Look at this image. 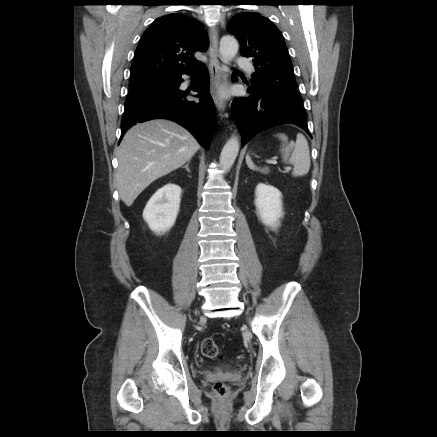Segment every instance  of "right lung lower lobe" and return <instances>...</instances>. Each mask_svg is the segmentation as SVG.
Instances as JSON below:
<instances>
[{
    "label": "right lung lower lobe",
    "instance_id": "1",
    "mask_svg": "<svg viewBox=\"0 0 437 437\" xmlns=\"http://www.w3.org/2000/svg\"><path fill=\"white\" fill-rule=\"evenodd\" d=\"M183 74L194 76L193 91L198 93L200 101L187 100V91L179 89L183 82ZM209 85L208 70L203 63H200L197 67L173 78L171 84L164 89L129 98L125 102L121 139L124 133L137 122L165 118L188 129L200 145L209 149L216 124V111Z\"/></svg>",
    "mask_w": 437,
    "mask_h": 437
}]
</instances>
